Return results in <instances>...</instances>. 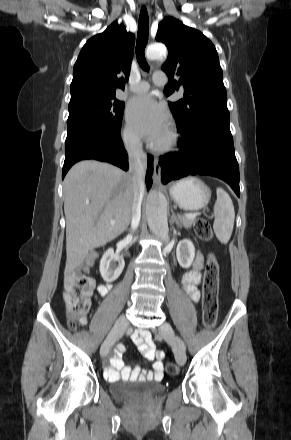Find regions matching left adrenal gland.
I'll use <instances>...</instances> for the list:
<instances>
[{"mask_svg": "<svg viewBox=\"0 0 291 440\" xmlns=\"http://www.w3.org/2000/svg\"><path fill=\"white\" fill-rule=\"evenodd\" d=\"M171 222H172V223H176L178 226H180V222H179V220H178V218L176 217V215H175L174 212H172Z\"/></svg>", "mask_w": 291, "mask_h": 440, "instance_id": "obj_1", "label": "left adrenal gland"}]
</instances>
